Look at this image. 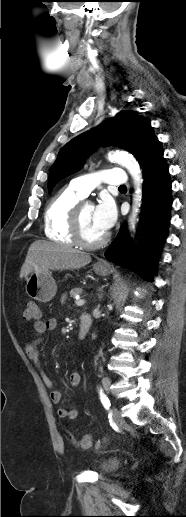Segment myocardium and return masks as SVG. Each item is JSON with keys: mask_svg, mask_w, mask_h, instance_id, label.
Instances as JSON below:
<instances>
[{"mask_svg": "<svg viewBox=\"0 0 186 517\" xmlns=\"http://www.w3.org/2000/svg\"><path fill=\"white\" fill-rule=\"evenodd\" d=\"M85 202L77 203L73 209L72 217H71V231L72 236L74 239V242L84 248L87 249H95L103 246L107 240H108V234H104L101 238L89 241L87 240L82 232V225H81V210L82 207L85 205Z\"/></svg>", "mask_w": 186, "mask_h": 517, "instance_id": "1", "label": "myocardium"}]
</instances>
